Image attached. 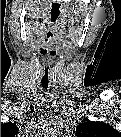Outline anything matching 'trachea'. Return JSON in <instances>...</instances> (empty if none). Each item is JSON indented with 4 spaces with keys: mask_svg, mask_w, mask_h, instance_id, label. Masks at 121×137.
I'll use <instances>...</instances> for the list:
<instances>
[{
    "mask_svg": "<svg viewBox=\"0 0 121 137\" xmlns=\"http://www.w3.org/2000/svg\"><path fill=\"white\" fill-rule=\"evenodd\" d=\"M60 14H61L60 6L58 4L52 6L51 18H50L51 23H50V31H49V36L51 37L53 36V34L55 33L58 27ZM49 78H50V66L48 62H45L42 67V80H41L42 87L45 89L48 87Z\"/></svg>",
    "mask_w": 121,
    "mask_h": 137,
    "instance_id": "3493384b",
    "label": "trachea"
}]
</instances>
